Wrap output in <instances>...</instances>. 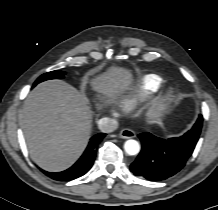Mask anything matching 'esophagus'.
<instances>
[{"instance_id": "obj_1", "label": "esophagus", "mask_w": 218, "mask_h": 210, "mask_svg": "<svg viewBox=\"0 0 218 210\" xmlns=\"http://www.w3.org/2000/svg\"><path fill=\"white\" fill-rule=\"evenodd\" d=\"M119 136L123 139H129L135 137V132L131 129H123L120 131Z\"/></svg>"}]
</instances>
